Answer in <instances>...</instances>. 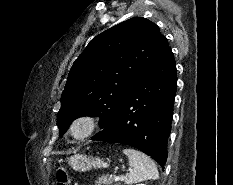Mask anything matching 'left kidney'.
Listing matches in <instances>:
<instances>
[{"mask_svg":"<svg viewBox=\"0 0 233 185\" xmlns=\"http://www.w3.org/2000/svg\"><path fill=\"white\" fill-rule=\"evenodd\" d=\"M137 185H145V184H137Z\"/></svg>","mask_w":233,"mask_h":185,"instance_id":"1","label":"left kidney"}]
</instances>
